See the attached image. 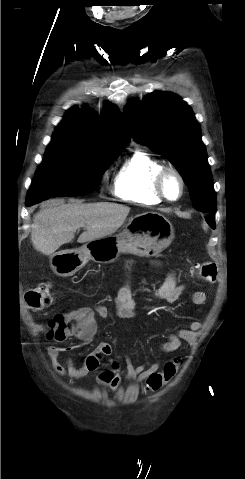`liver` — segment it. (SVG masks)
I'll use <instances>...</instances> for the list:
<instances>
[{
  "label": "liver",
  "mask_w": 245,
  "mask_h": 479,
  "mask_svg": "<svg viewBox=\"0 0 245 479\" xmlns=\"http://www.w3.org/2000/svg\"><path fill=\"white\" fill-rule=\"evenodd\" d=\"M129 212L128 206L117 203L65 204L60 201L34 215L31 241L37 251L52 256L63 244L72 242L81 227L86 231L79 236V243L112 235Z\"/></svg>",
  "instance_id": "liver-1"
}]
</instances>
